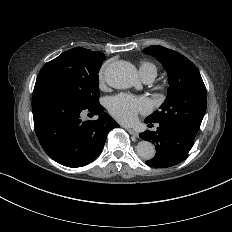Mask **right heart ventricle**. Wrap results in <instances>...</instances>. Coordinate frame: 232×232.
<instances>
[{
    "label": "right heart ventricle",
    "mask_w": 232,
    "mask_h": 232,
    "mask_svg": "<svg viewBox=\"0 0 232 232\" xmlns=\"http://www.w3.org/2000/svg\"><path fill=\"white\" fill-rule=\"evenodd\" d=\"M140 73L143 79L147 76H151L154 79L157 75V69L152 63L144 62L141 65Z\"/></svg>",
    "instance_id": "right-heart-ventricle-1"
}]
</instances>
